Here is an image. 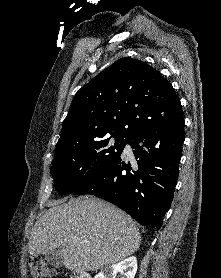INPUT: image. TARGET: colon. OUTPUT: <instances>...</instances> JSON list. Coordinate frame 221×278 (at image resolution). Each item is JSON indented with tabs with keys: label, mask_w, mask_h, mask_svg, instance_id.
<instances>
[{
	"label": "colon",
	"mask_w": 221,
	"mask_h": 278,
	"mask_svg": "<svg viewBox=\"0 0 221 278\" xmlns=\"http://www.w3.org/2000/svg\"><path fill=\"white\" fill-rule=\"evenodd\" d=\"M28 269L35 278H62L56 270L50 267L42 258L30 257L27 261Z\"/></svg>",
	"instance_id": "5ec220e1"
}]
</instances>
